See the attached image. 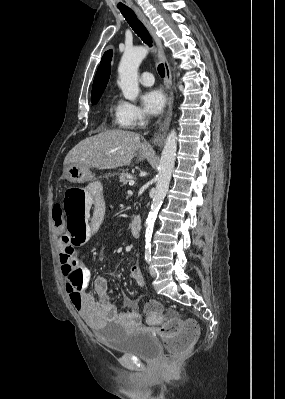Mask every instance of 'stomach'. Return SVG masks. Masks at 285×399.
I'll return each mask as SVG.
<instances>
[{"mask_svg":"<svg viewBox=\"0 0 285 399\" xmlns=\"http://www.w3.org/2000/svg\"><path fill=\"white\" fill-rule=\"evenodd\" d=\"M64 177L71 183H84L92 179L90 168L75 164L67 165L63 171Z\"/></svg>","mask_w":285,"mask_h":399,"instance_id":"stomach-1","label":"stomach"}]
</instances>
